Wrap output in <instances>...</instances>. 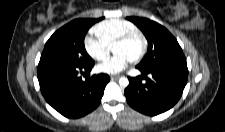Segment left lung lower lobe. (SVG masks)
<instances>
[{"label": "left lung lower lobe", "mask_w": 225, "mask_h": 132, "mask_svg": "<svg viewBox=\"0 0 225 132\" xmlns=\"http://www.w3.org/2000/svg\"><path fill=\"white\" fill-rule=\"evenodd\" d=\"M138 69L142 75L128 77L129 86L124 91L127 102L133 109L154 116L177 103L187 83V64H163L146 70Z\"/></svg>", "instance_id": "1"}]
</instances>
